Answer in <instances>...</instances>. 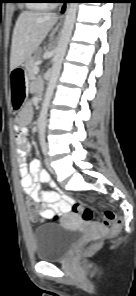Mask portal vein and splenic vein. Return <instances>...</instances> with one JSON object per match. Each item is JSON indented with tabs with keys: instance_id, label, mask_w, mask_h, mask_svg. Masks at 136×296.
I'll return each instance as SVG.
<instances>
[{
	"instance_id": "1",
	"label": "portal vein and splenic vein",
	"mask_w": 136,
	"mask_h": 296,
	"mask_svg": "<svg viewBox=\"0 0 136 296\" xmlns=\"http://www.w3.org/2000/svg\"><path fill=\"white\" fill-rule=\"evenodd\" d=\"M39 68L37 66L34 67V74H38Z\"/></svg>"
}]
</instances>
